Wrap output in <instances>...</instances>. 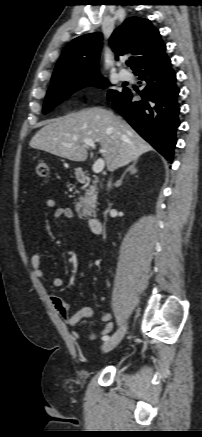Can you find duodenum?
Instances as JSON below:
<instances>
[{"label":"duodenum","mask_w":202,"mask_h":437,"mask_svg":"<svg viewBox=\"0 0 202 437\" xmlns=\"http://www.w3.org/2000/svg\"><path fill=\"white\" fill-rule=\"evenodd\" d=\"M77 180L81 183H87L89 181L88 175L80 170L76 174ZM88 226L92 233L99 234L102 230V222L97 216H91L88 220Z\"/></svg>","instance_id":"410a0bca"}]
</instances>
